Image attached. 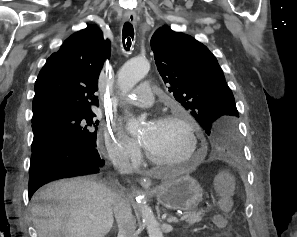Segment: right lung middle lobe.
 Listing matches in <instances>:
<instances>
[{
    "mask_svg": "<svg viewBox=\"0 0 297 237\" xmlns=\"http://www.w3.org/2000/svg\"><path fill=\"white\" fill-rule=\"evenodd\" d=\"M93 112H54L32 121L33 142L64 136L87 146L96 145L98 120Z\"/></svg>",
    "mask_w": 297,
    "mask_h": 237,
    "instance_id": "1",
    "label": "right lung middle lobe"
}]
</instances>
